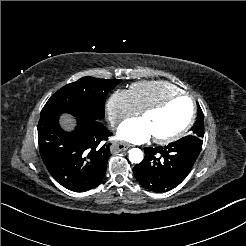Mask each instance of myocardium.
Wrapping results in <instances>:
<instances>
[{
    "mask_svg": "<svg viewBox=\"0 0 246 246\" xmlns=\"http://www.w3.org/2000/svg\"><path fill=\"white\" fill-rule=\"evenodd\" d=\"M187 98L190 101L191 104V112L190 115L186 121V123L175 133L166 136V137H154V141L158 144H168L170 142H173L177 139H179L181 136H183L193 125L194 120H195V114H196V109H195V104L193 101V98L187 94V93H179L176 95H173L165 100H163L162 102H159L157 104L151 105L146 107L145 109H143L140 113V116L143 118L145 117L147 114H149L150 112H154V111H158V110H162L163 108H165L170 102L174 101L177 98Z\"/></svg>",
    "mask_w": 246,
    "mask_h": 246,
    "instance_id": "1",
    "label": "myocardium"
}]
</instances>
